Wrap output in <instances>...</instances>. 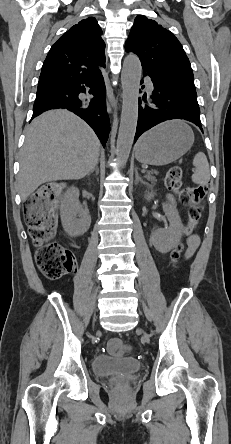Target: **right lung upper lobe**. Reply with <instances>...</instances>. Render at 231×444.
Returning a JSON list of instances; mask_svg holds the SVG:
<instances>
[{
	"label": "right lung upper lobe",
	"instance_id": "1",
	"mask_svg": "<svg viewBox=\"0 0 231 444\" xmlns=\"http://www.w3.org/2000/svg\"><path fill=\"white\" fill-rule=\"evenodd\" d=\"M102 30L93 17L81 20L51 47L39 78L38 89L101 74L105 67Z\"/></svg>",
	"mask_w": 231,
	"mask_h": 444
}]
</instances>
